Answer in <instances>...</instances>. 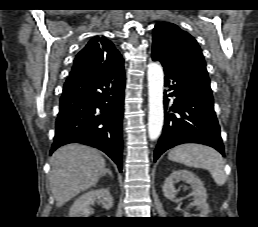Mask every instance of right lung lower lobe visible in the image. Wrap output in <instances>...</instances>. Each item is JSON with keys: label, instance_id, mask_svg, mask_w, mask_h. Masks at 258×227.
Here are the masks:
<instances>
[{"label": "right lung lower lobe", "instance_id": "obj_1", "mask_svg": "<svg viewBox=\"0 0 258 227\" xmlns=\"http://www.w3.org/2000/svg\"><path fill=\"white\" fill-rule=\"evenodd\" d=\"M125 72L122 58L96 71L69 76L60 98L52 150L82 143L105 152L122 171Z\"/></svg>", "mask_w": 258, "mask_h": 227}]
</instances>
